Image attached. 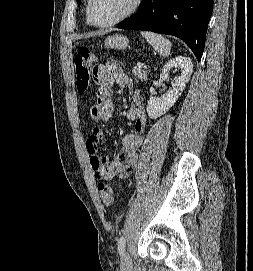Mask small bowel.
Wrapping results in <instances>:
<instances>
[{"label": "small bowel", "instance_id": "1", "mask_svg": "<svg viewBox=\"0 0 253 271\" xmlns=\"http://www.w3.org/2000/svg\"><path fill=\"white\" fill-rule=\"evenodd\" d=\"M96 72L97 102L90 108V116L96 122H107L113 115L115 104L112 98V86L114 84L134 90L133 104L127 111L126 117L134 123L136 132L124 135L123 149L119 155L110 161L108 157L98 154L97 147L104 138V131L100 126H94L84 140V149L95 179L125 178L138 164V149L145 140L147 117L140 106V92L135 89L133 79L118 64L109 62L99 65Z\"/></svg>", "mask_w": 253, "mask_h": 271}]
</instances>
